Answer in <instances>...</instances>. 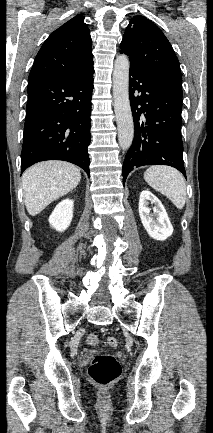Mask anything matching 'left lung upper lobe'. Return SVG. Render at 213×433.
Instances as JSON below:
<instances>
[{"mask_svg": "<svg viewBox=\"0 0 213 433\" xmlns=\"http://www.w3.org/2000/svg\"><path fill=\"white\" fill-rule=\"evenodd\" d=\"M120 53L130 56V66L150 80L182 95L180 64L162 31L143 16H135L126 27Z\"/></svg>", "mask_w": 213, "mask_h": 433, "instance_id": "5c2ea615", "label": "left lung upper lobe"}]
</instances>
